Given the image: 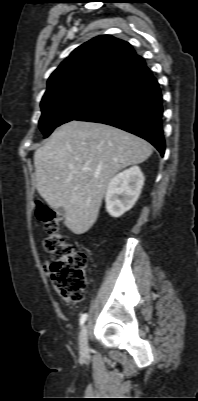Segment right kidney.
I'll list each match as a JSON object with an SVG mask.
<instances>
[{
    "label": "right kidney",
    "instance_id": "1",
    "mask_svg": "<svg viewBox=\"0 0 198 401\" xmlns=\"http://www.w3.org/2000/svg\"><path fill=\"white\" fill-rule=\"evenodd\" d=\"M144 175L133 166L115 175L107 186L106 210L114 218L130 210L139 198L144 185Z\"/></svg>",
    "mask_w": 198,
    "mask_h": 401
}]
</instances>
